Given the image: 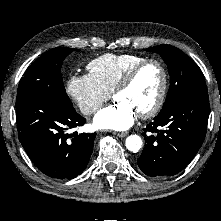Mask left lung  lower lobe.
I'll list each match as a JSON object with an SVG mask.
<instances>
[{
  "label": "left lung lower lobe",
  "mask_w": 221,
  "mask_h": 221,
  "mask_svg": "<svg viewBox=\"0 0 221 221\" xmlns=\"http://www.w3.org/2000/svg\"><path fill=\"white\" fill-rule=\"evenodd\" d=\"M208 117V93L190 96L159 113L142 133L147 144L137 161L139 168L152 177L179 173L200 149Z\"/></svg>",
  "instance_id": "left-lung-lower-lobe-1"
}]
</instances>
